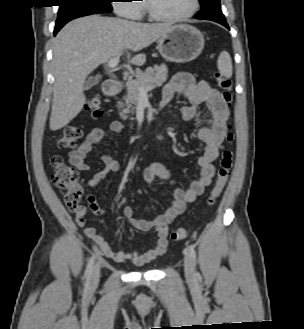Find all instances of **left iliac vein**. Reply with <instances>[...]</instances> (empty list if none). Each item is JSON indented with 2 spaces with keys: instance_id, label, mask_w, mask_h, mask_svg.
Returning a JSON list of instances; mask_svg holds the SVG:
<instances>
[{
  "instance_id": "1",
  "label": "left iliac vein",
  "mask_w": 304,
  "mask_h": 329,
  "mask_svg": "<svg viewBox=\"0 0 304 329\" xmlns=\"http://www.w3.org/2000/svg\"><path fill=\"white\" fill-rule=\"evenodd\" d=\"M184 270L187 281L193 283L195 281L194 265L192 263L191 257L188 254H185Z\"/></svg>"
}]
</instances>
